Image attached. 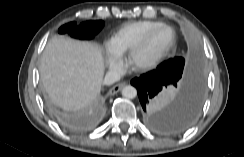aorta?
Here are the masks:
<instances>
[{"instance_id": "1", "label": "aorta", "mask_w": 244, "mask_h": 157, "mask_svg": "<svg viewBox=\"0 0 244 157\" xmlns=\"http://www.w3.org/2000/svg\"><path fill=\"white\" fill-rule=\"evenodd\" d=\"M122 95L125 97V98H128V99H133L136 97L137 95V90L135 87L131 86V85H127L125 87H123L122 91H121Z\"/></svg>"}]
</instances>
